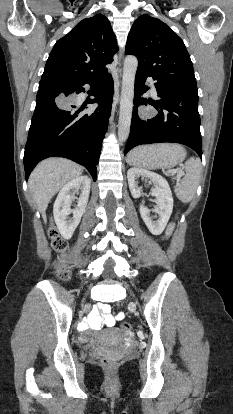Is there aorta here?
Returning <instances> with one entry per match:
<instances>
[{
	"label": "aorta",
	"mask_w": 233,
	"mask_h": 414,
	"mask_svg": "<svg viewBox=\"0 0 233 414\" xmlns=\"http://www.w3.org/2000/svg\"><path fill=\"white\" fill-rule=\"evenodd\" d=\"M137 67V58L133 55L126 56L124 60V69L122 77L120 113L118 124V139L121 142L126 141L130 133L134 98V82Z\"/></svg>",
	"instance_id": "obj_1"
}]
</instances>
